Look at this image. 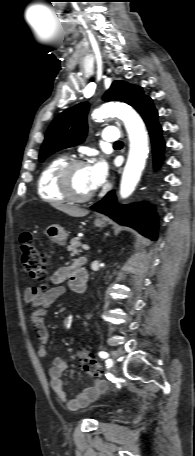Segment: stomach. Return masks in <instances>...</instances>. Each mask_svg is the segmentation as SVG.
<instances>
[{
  "mask_svg": "<svg viewBox=\"0 0 195 456\" xmlns=\"http://www.w3.org/2000/svg\"><path fill=\"white\" fill-rule=\"evenodd\" d=\"M94 225L96 227L103 228L106 226V222L103 219L97 218L94 221ZM46 235L50 239V241L58 243L60 245L65 244V241L68 236L64 228L57 224L48 226L46 229Z\"/></svg>",
  "mask_w": 195,
  "mask_h": 456,
  "instance_id": "stomach-1",
  "label": "stomach"
}]
</instances>
